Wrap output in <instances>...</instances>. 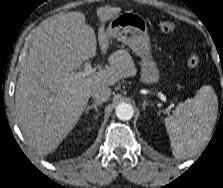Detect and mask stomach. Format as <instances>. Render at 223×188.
I'll use <instances>...</instances> for the list:
<instances>
[{"mask_svg":"<svg viewBox=\"0 0 223 188\" xmlns=\"http://www.w3.org/2000/svg\"><path fill=\"white\" fill-rule=\"evenodd\" d=\"M147 24L143 17L133 12H124L113 17L107 33L110 38L129 46L133 52L143 58L141 63V81L146 84L159 81V71L150 57Z\"/></svg>","mask_w":223,"mask_h":188,"instance_id":"obj_1","label":"stomach"}]
</instances>
